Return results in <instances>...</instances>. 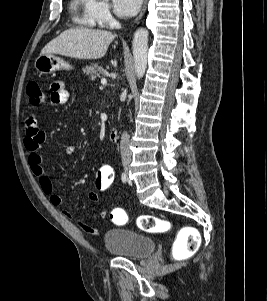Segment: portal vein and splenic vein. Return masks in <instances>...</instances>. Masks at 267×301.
Returning a JSON list of instances; mask_svg holds the SVG:
<instances>
[{
  "label": "portal vein and splenic vein",
  "mask_w": 267,
  "mask_h": 301,
  "mask_svg": "<svg viewBox=\"0 0 267 301\" xmlns=\"http://www.w3.org/2000/svg\"><path fill=\"white\" fill-rule=\"evenodd\" d=\"M101 83H102L103 86H105V85H107V80L105 78H102Z\"/></svg>",
  "instance_id": "1"
}]
</instances>
